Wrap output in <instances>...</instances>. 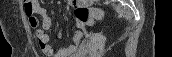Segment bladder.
Instances as JSON below:
<instances>
[{
  "label": "bladder",
  "instance_id": "1",
  "mask_svg": "<svg viewBox=\"0 0 172 57\" xmlns=\"http://www.w3.org/2000/svg\"><path fill=\"white\" fill-rule=\"evenodd\" d=\"M72 57H91V56L88 54V52H85V53H77Z\"/></svg>",
  "mask_w": 172,
  "mask_h": 57
}]
</instances>
